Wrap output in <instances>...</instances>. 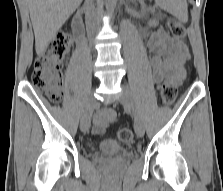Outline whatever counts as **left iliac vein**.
I'll use <instances>...</instances> for the list:
<instances>
[{
  "instance_id": "4c4485c4",
  "label": "left iliac vein",
  "mask_w": 223,
  "mask_h": 191,
  "mask_svg": "<svg viewBox=\"0 0 223 191\" xmlns=\"http://www.w3.org/2000/svg\"><path fill=\"white\" fill-rule=\"evenodd\" d=\"M119 102L134 115V130L138 137L144 135V125L143 122L135 110L134 102L131 93L123 86V91L120 93Z\"/></svg>"
}]
</instances>
